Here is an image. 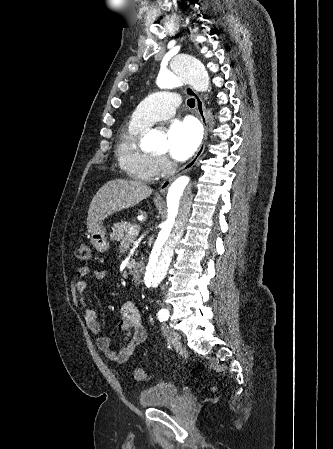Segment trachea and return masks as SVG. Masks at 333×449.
<instances>
[{"mask_svg":"<svg viewBox=\"0 0 333 449\" xmlns=\"http://www.w3.org/2000/svg\"><path fill=\"white\" fill-rule=\"evenodd\" d=\"M187 104L189 107L193 108L195 106V99L193 98L188 99Z\"/></svg>","mask_w":333,"mask_h":449,"instance_id":"obj_1","label":"trachea"}]
</instances>
